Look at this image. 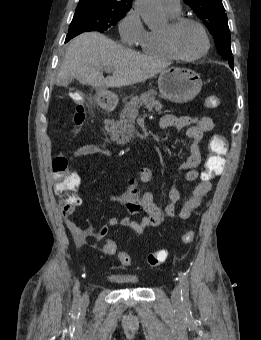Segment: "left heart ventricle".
Wrapping results in <instances>:
<instances>
[{
	"label": "left heart ventricle",
	"mask_w": 261,
	"mask_h": 340,
	"mask_svg": "<svg viewBox=\"0 0 261 340\" xmlns=\"http://www.w3.org/2000/svg\"><path fill=\"white\" fill-rule=\"evenodd\" d=\"M174 42L179 53L185 56L200 53L205 45L204 37L199 28L190 23L183 25L175 32Z\"/></svg>",
	"instance_id": "obj_1"
}]
</instances>
